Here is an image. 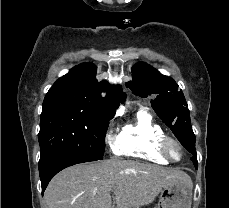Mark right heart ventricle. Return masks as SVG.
<instances>
[{
	"mask_svg": "<svg viewBox=\"0 0 229 208\" xmlns=\"http://www.w3.org/2000/svg\"><path fill=\"white\" fill-rule=\"evenodd\" d=\"M167 133L151 115L139 110L132 121L126 123L116 137L113 150L117 155L135 158L144 162L167 165L171 162L159 153Z\"/></svg>",
	"mask_w": 229,
	"mask_h": 208,
	"instance_id": "right-heart-ventricle-1",
	"label": "right heart ventricle"
}]
</instances>
